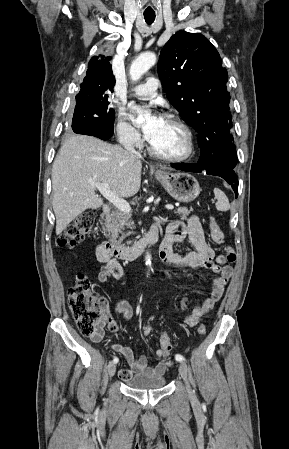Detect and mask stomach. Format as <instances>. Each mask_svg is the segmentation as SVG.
Segmentation results:
<instances>
[{"mask_svg": "<svg viewBox=\"0 0 289 449\" xmlns=\"http://www.w3.org/2000/svg\"><path fill=\"white\" fill-rule=\"evenodd\" d=\"M155 176L164 189L177 201L188 203L200 194L198 181L189 173L164 172L156 173Z\"/></svg>", "mask_w": 289, "mask_h": 449, "instance_id": "obj_1", "label": "stomach"}]
</instances>
